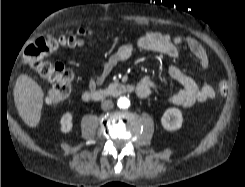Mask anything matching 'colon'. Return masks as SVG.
<instances>
[{"label":"colon","instance_id":"colon-1","mask_svg":"<svg viewBox=\"0 0 245 187\" xmlns=\"http://www.w3.org/2000/svg\"><path fill=\"white\" fill-rule=\"evenodd\" d=\"M92 35L90 31L78 29L60 35H46L28 45L24 52L23 63L34 70L38 76L52 83L44 100L48 105H55L67 99L72 91L74 72L60 62L46 58L62 46H80ZM218 91L224 95L228 89L226 81L218 83Z\"/></svg>","mask_w":245,"mask_h":187}]
</instances>
